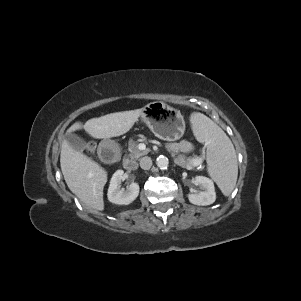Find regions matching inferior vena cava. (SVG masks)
<instances>
[{
	"label": "inferior vena cava",
	"instance_id": "obj_1",
	"mask_svg": "<svg viewBox=\"0 0 301 301\" xmlns=\"http://www.w3.org/2000/svg\"><path fill=\"white\" fill-rule=\"evenodd\" d=\"M152 166V160L150 157L146 156L140 160V167L144 170L150 169Z\"/></svg>",
	"mask_w": 301,
	"mask_h": 301
}]
</instances>
